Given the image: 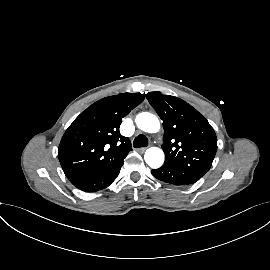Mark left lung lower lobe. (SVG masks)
<instances>
[{"label":"left lung lower lobe","mask_w":270,"mask_h":270,"mask_svg":"<svg viewBox=\"0 0 270 270\" xmlns=\"http://www.w3.org/2000/svg\"><path fill=\"white\" fill-rule=\"evenodd\" d=\"M151 173L158 180L177 186L194 184L200 179L182 168L165 164L158 169H153Z\"/></svg>","instance_id":"1"}]
</instances>
